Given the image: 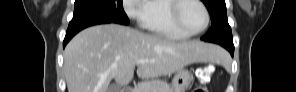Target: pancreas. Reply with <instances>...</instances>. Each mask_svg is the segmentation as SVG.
<instances>
[{
    "instance_id": "pancreas-1",
    "label": "pancreas",
    "mask_w": 296,
    "mask_h": 92,
    "mask_svg": "<svg viewBox=\"0 0 296 92\" xmlns=\"http://www.w3.org/2000/svg\"><path fill=\"white\" fill-rule=\"evenodd\" d=\"M134 92H172L166 81L151 79L138 83Z\"/></svg>"
}]
</instances>
